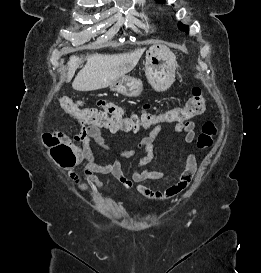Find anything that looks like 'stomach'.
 Here are the masks:
<instances>
[{
    "instance_id": "0dacf381",
    "label": "stomach",
    "mask_w": 261,
    "mask_h": 273,
    "mask_svg": "<svg viewBox=\"0 0 261 273\" xmlns=\"http://www.w3.org/2000/svg\"><path fill=\"white\" fill-rule=\"evenodd\" d=\"M176 57L164 45H153L146 51L145 75L156 91L167 90L175 81ZM113 91L129 97L139 96L143 90L140 79L122 76L110 86Z\"/></svg>"
}]
</instances>
